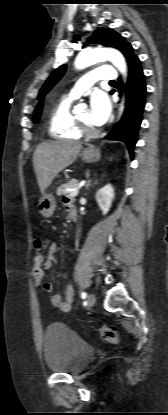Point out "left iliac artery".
Segmentation results:
<instances>
[{
  "label": "left iliac artery",
  "instance_id": "obj_1",
  "mask_svg": "<svg viewBox=\"0 0 168 415\" xmlns=\"http://www.w3.org/2000/svg\"><path fill=\"white\" fill-rule=\"evenodd\" d=\"M86 296H87L86 292H82V293H81V297H82V299H85V298H86Z\"/></svg>",
  "mask_w": 168,
  "mask_h": 415
}]
</instances>
